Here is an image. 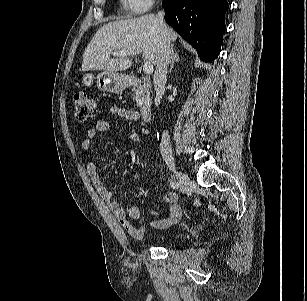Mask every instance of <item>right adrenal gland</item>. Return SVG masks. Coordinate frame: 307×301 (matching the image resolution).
Instances as JSON below:
<instances>
[{"mask_svg": "<svg viewBox=\"0 0 307 301\" xmlns=\"http://www.w3.org/2000/svg\"><path fill=\"white\" fill-rule=\"evenodd\" d=\"M179 60H180V57L178 53L174 50V45H172L171 46V65H170L169 72H172L175 62H178Z\"/></svg>", "mask_w": 307, "mask_h": 301, "instance_id": "right-adrenal-gland-1", "label": "right adrenal gland"}]
</instances>
